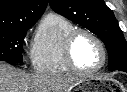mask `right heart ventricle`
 Listing matches in <instances>:
<instances>
[{"mask_svg": "<svg viewBox=\"0 0 127 92\" xmlns=\"http://www.w3.org/2000/svg\"><path fill=\"white\" fill-rule=\"evenodd\" d=\"M74 29L61 15L49 13L39 23L32 48L33 69L43 75H63L70 72L63 57L66 35Z\"/></svg>", "mask_w": 127, "mask_h": 92, "instance_id": "obj_1", "label": "right heart ventricle"}]
</instances>
